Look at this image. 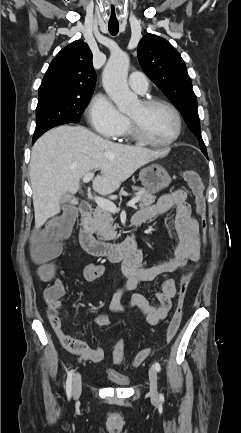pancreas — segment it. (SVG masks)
Returning a JSON list of instances; mask_svg holds the SVG:
<instances>
[{
    "label": "pancreas",
    "instance_id": "obj_1",
    "mask_svg": "<svg viewBox=\"0 0 241 433\" xmlns=\"http://www.w3.org/2000/svg\"><path fill=\"white\" fill-rule=\"evenodd\" d=\"M136 196L140 197L139 207L144 208L153 204L156 197L146 189H136ZM117 225L114 224V219L110 211L101 207L94 210L91 231L96 233L101 240H112L116 238Z\"/></svg>",
    "mask_w": 241,
    "mask_h": 433
}]
</instances>
